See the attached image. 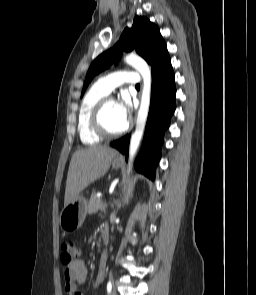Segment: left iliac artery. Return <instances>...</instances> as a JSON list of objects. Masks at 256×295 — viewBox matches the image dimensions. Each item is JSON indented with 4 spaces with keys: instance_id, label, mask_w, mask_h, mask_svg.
I'll use <instances>...</instances> for the list:
<instances>
[{
    "instance_id": "obj_1",
    "label": "left iliac artery",
    "mask_w": 256,
    "mask_h": 295,
    "mask_svg": "<svg viewBox=\"0 0 256 295\" xmlns=\"http://www.w3.org/2000/svg\"><path fill=\"white\" fill-rule=\"evenodd\" d=\"M112 290V281L109 280L108 283H107V293L109 294Z\"/></svg>"
}]
</instances>
